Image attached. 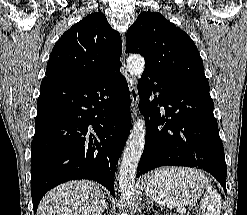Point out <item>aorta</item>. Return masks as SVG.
I'll list each match as a JSON object with an SVG mask.
<instances>
[{
  "label": "aorta",
  "mask_w": 247,
  "mask_h": 215,
  "mask_svg": "<svg viewBox=\"0 0 247 215\" xmlns=\"http://www.w3.org/2000/svg\"><path fill=\"white\" fill-rule=\"evenodd\" d=\"M130 75L140 77L145 68V60L141 55L133 54L127 58ZM145 121H135L127 140L119 169V191L123 200L129 201L134 195V183L137 166L145 146Z\"/></svg>",
  "instance_id": "1"
}]
</instances>
